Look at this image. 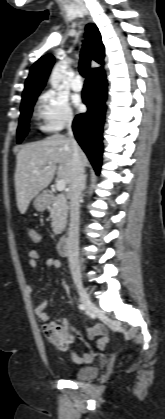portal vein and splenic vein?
Returning <instances> with one entry per match:
<instances>
[{"mask_svg":"<svg viewBox=\"0 0 165 419\" xmlns=\"http://www.w3.org/2000/svg\"><path fill=\"white\" fill-rule=\"evenodd\" d=\"M33 173H37V169H34V170H33ZM65 186H66V182H65V180L60 179V180H57V181H56V189H57L58 191H63V190L65 189Z\"/></svg>","mask_w":165,"mask_h":419,"instance_id":"18ae733b","label":"portal vein and splenic vein"}]
</instances>
